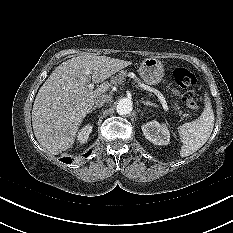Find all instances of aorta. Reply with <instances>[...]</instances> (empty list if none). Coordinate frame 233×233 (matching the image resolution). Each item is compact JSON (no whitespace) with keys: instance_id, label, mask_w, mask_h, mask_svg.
Wrapping results in <instances>:
<instances>
[{"instance_id":"aorta-1","label":"aorta","mask_w":233,"mask_h":233,"mask_svg":"<svg viewBox=\"0 0 233 233\" xmlns=\"http://www.w3.org/2000/svg\"><path fill=\"white\" fill-rule=\"evenodd\" d=\"M132 104H133L132 101L128 98L120 99L116 107L117 113L119 115L129 114L133 109Z\"/></svg>"}]
</instances>
